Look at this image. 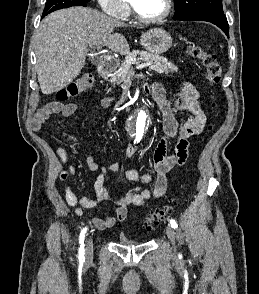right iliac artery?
Listing matches in <instances>:
<instances>
[{"instance_id":"right-iliac-artery-1","label":"right iliac artery","mask_w":259,"mask_h":294,"mask_svg":"<svg viewBox=\"0 0 259 294\" xmlns=\"http://www.w3.org/2000/svg\"><path fill=\"white\" fill-rule=\"evenodd\" d=\"M87 233V227L83 228V230L80 233L79 236V252H78V260L80 263H83L85 261V256H84V239H85V235Z\"/></svg>"}]
</instances>
